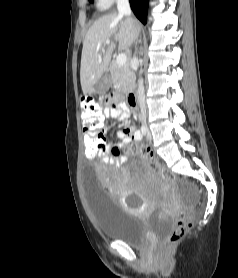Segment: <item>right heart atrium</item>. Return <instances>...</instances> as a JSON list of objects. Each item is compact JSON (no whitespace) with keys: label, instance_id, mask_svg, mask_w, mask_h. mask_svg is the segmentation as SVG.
I'll list each match as a JSON object with an SVG mask.
<instances>
[{"label":"right heart atrium","instance_id":"right-heart-atrium-1","mask_svg":"<svg viewBox=\"0 0 238 278\" xmlns=\"http://www.w3.org/2000/svg\"><path fill=\"white\" fill-rule=\"evenodd\" d=\"M100 1L109 7V6H111L116 0H100Z\"/></svg>","mask_w":238,"mask_h":278}]
</instances>
